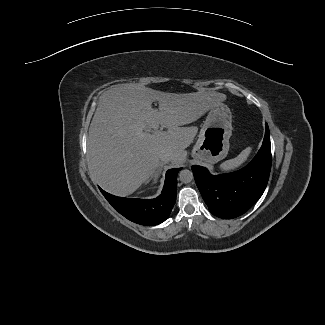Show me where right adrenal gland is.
Returning a JSON list of instances; mask_svg holds the SVG:
<instances>
[{
    "mask_svg": "<svg viewBox=\"0 0 325 325\" xmlns=\"http://www.w3.org/2000/svg\"><path fill=\"white\" fill-rule=\"evenodd\" d=\"M163 165H165V162H161V163H159V166H158L156 172H155L154 175L152 176V178H154L155 181H156L157 178L159 177V175H160V173H161V171H162V167H163Z\"/></svg>",
    "mask_w": 325,
    "mask_h": 325,
    "instance_id": "2a0ac1e0",
    "label": "right adrenal gland"
}]
</instances>
